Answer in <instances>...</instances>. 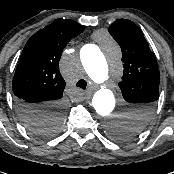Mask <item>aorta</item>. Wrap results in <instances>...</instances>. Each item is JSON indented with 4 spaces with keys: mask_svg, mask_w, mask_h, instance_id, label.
Segmentation results:
<instances>
[{
    "mask_svg": "<svg viewBox=\"0 0 174 174\" xmlns=\"http://www.w3.org/2000/svg\"><path fill=\"white\" fill-rule=\"evenodd\" d=\"M80 55L86 73L97 86L92 99L93 107L101 124L110 132L111 128L120 125L122 116L112 113L115 99L112 91L105 85L108 79L107 61L112 64L118 63L121 59V50L113 40L106 36L105 55L94 45H85Z\"/></svg>",
    "mask_w": 174,
    "mask_h": 174,
    "instance_id": "aorta-1",
    "label": "aorta"
}]
</instances>
